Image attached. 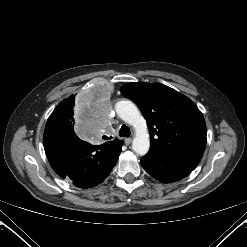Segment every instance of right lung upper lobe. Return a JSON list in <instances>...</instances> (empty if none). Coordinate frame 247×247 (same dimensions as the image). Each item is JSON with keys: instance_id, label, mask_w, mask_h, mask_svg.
<instances>
[{"instance_id": "cb5924a9", "label": "right lung upper lobe", "mask_w": 247, "mask_h": 247, "mask_svg": "<svg viewBox=\"0 0 247 247\" xmlns=\"http://www.w3.org/2000/svg\"><path fill=\"white\" fill-rule=\"evenodd\" d=\"M74 100H75V96L71 95L69 98L64 99L63 101H61L59 103V105L55 109H59V108H61L63 106H66L68 104H73ZM121 143H123L121 140L115 139L114 141H110V142H107L105 144L114 145V144H121Z\"/></svg>"}]
</instances>
